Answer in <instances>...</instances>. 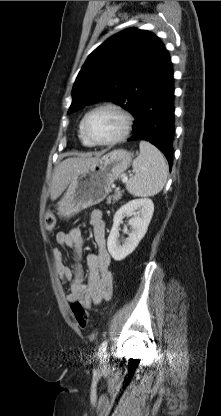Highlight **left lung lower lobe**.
<instances>
[{"instance_id": "1", "label": "left lung lower lobe", "mask_w": 221, "mask_h": 416, "mask_svg": "<svg viewBox=\"0 0 221 416\" xmlns=\"http://www.w3.org/2000/svg\"><path fill=\"white\" fill-rule=\"evenodd\" d=\"M171 60L165 51L156 79L138 103L133 136L128 141L146 140L163 152L171 169L174 136V86Z\"/></svg>"}]
</instances>
